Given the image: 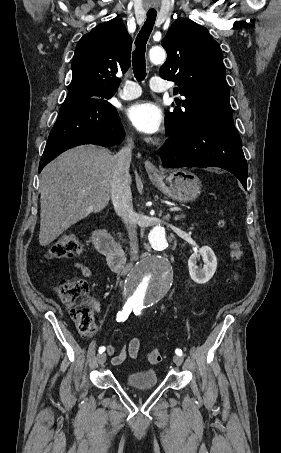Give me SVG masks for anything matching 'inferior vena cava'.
Listing matches in <instances>:
<instances>
[{
	"instance_id": "602c4592",
	"label": "inferior vena cava",
	"mask_w": 281,
	"mask_h": 453,
	"mask_svg": "<svg viewBox=\"0 0 281 453\" xmlns=\"http://www.w3.org/2000/svg\"><path fill=\"white\" fill-rule=\"evenodd\" d=\"M127 146H123L119 152L114 154L116 168L113 176L111 198L114 208L121 216L130 239V261H137V218L133 210L132 192L130 188L131 176L129 166L132 158L133 140L128 138Z\"/></svg>"
}]
</instances>
